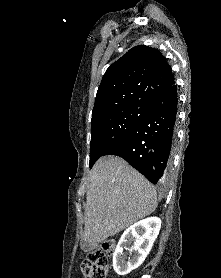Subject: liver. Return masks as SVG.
Returning <instances> with one entry per match:
<instances>
[{
    "instance_id": "liver-1",
    "label": "liver",
    "mask_w": 221,
    "mask_h": 278,
    "mask_svg": "<svg viewBox=\"0 0 221 278\" xmlns=\"http://www.w3.org/2000/svg\"><path fill=\"white\" fill-rule=\"evenodd\" d=\"M157 194L137 170L116 156L100 158L89 173L84 207V241L91 245L155 211Z\"/></svg>"
}]
</instances>
